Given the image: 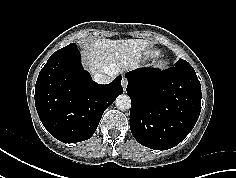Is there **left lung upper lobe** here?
<instances>
[{
  "label": "left lung upper lobe",
  "mask_w": 236,
  "mask_h": 178,
  "mask_svg": "<svg viewBox=\"0 0 236 178\" xmlns=\"http://www.w3.org/2000/svg\"><path fill=\"white\" fill-rule=\"evenodd\" d=\"M175 66L186 67V66H191V65L187 61L180 59L178 62H176Z\"/></svg>",
  "instance_id": "obj_1"
}]
</instances>
